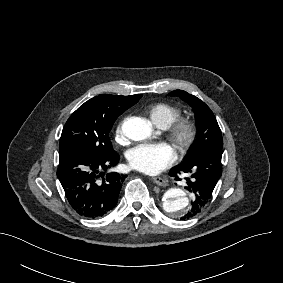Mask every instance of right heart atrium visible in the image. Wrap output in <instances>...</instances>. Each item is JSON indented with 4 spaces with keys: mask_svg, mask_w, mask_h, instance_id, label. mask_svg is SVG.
I'll use <instances>...</instances> for the list:
<instances>
[{
    "mask_svg": "<svg viewBox=\"0 0 283 283\" xmlns=\"http://www.w3.org/2000/svg\"><path fill=\"white\" fill-rule=\"evenodd\" d=\"M115 138L117 141L119 142H122L125 140V137H124V134H123V131H122V126H121V123L118 124V126L116 127V130H115Z\"/></svg>",
    "mask_w": 283,
    "mask_h": 283,
    "instance_id": "d8ad5b80",
    "label": "right heart atrium"
}]
</instances>
